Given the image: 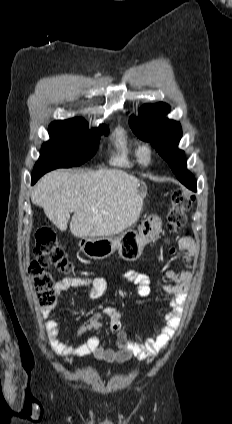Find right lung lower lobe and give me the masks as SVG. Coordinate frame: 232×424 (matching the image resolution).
Segmentation results:
<instances>
[{
	"instance_id": "98d812e1",
	"label": "right lung lower lobe",
	"mask_w": 232,
	"mask_h": 424,
	"mask_svg": "<svg viewBox=\"0 0 232 424\" xmlns=\"http://www.w3.org/2000/svg\"><path fill=\"white\" fill-rule=\"evenodd\" d=\"M40 177H32V184H34Z\"/></svg>"
}]
</instances>
